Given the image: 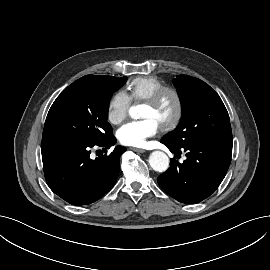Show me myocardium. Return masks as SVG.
I'll list each match as a JSON object with an SVG mask.
<instances>
[{
  "label": "myocardium",
  "instance_id": "obj_1",
  "mask_svg": "<svg viewBox=\"0 0 270 270\" xmlns=\"http://www.w3.org/2000/svg\"><path fill=\"white\" fill-rule=\"evenodd\" d=\"M166 94H172L175 99V112L173 117L161 125L163 131L175 129L182 120L184 113V102L180 91L173 86H162L151 94L145 102L150 105H157Z\"/></svg>",
  "mask_w": 270,
  "mask_h": 270
}]
</instances>
